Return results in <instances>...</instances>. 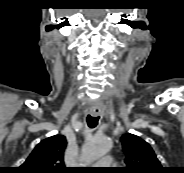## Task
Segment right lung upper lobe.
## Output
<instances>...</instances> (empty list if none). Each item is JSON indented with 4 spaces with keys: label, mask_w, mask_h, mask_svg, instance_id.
Masks as SVG:
<instances>
[{
    "label": "right lung upper lobe",
    "mask_w": 184,
    "mask_h": 173,
    "mask_svg": "<svg viewBox=\"0 0 184 173\" xmlns=\"http://www.w3.org/2000/svg\"><path fill=\"white\" fill-rule=\"evenodd\" d=\"M66 144V138L62 135H55L41 141L18 171L20 173H67L64 167Z\"/></svg>",
    "instance_id": "1"
}]
</instances>
